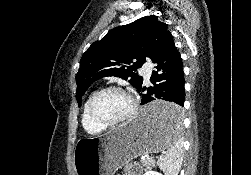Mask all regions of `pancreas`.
<instances>
[{"label":"pancreas","mask_w":251,"mask_h":175,"mask_svg":"<svg viewBox=\"0 0 251 175\" xmlns=\"http://www.w3.org/2000/svg\"><path fill=\"white\" fill-rule=\"evenodd\" d=\"M142 165L146 167V169H151V167H154V159L152 157H145V159H140Z\"/></svg>","instance_id":"1"}]
</instances>
